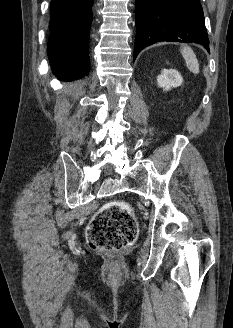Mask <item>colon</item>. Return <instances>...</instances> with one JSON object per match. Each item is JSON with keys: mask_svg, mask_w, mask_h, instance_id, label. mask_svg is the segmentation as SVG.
Instances as JSON below:
<instances>
[{"mask_svg": "<svg viewBox=\"0 0 233 328\" xmlns=\"http://www.w3.org/2000/svg\"><path fill=\"white\" fill-rule=\"evenodd\" d=\"M137 234V221L129 205L112 201L94 215L88 225L86 238L92 249L114 252L132 245Z\"/></svg>", "mask_w": 233, "mask_h": 328, "instance_id": "colon-1", "label": "colon"}]
</instances>
